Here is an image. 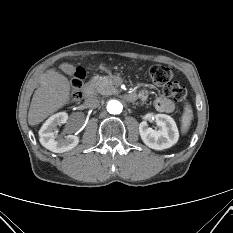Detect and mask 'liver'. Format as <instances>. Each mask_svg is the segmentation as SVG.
Returning a JSON list of instances; mask_svg holds the SVG:
<instances>
[{"instance_id":"6515ba94","label":"liver","mask_w":233,"mask_h":233,"mask_svg":"<svg viewBox=\"0 0 233 233\" xmlns=\"http://www.w3.org/2000/svg\"><path fill=\"white\" fill-rule=\"evenodd\" d=\"M39 87L35 90L28 112V123L37 125L53 114L70 100L68 79L49 69L39 76Z\"/></svg>"}]
</instances>
